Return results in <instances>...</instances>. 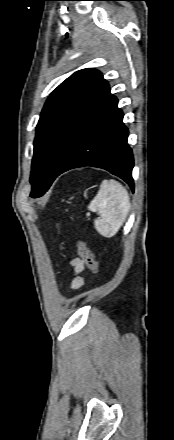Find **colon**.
I'll list each match as a JSON object with an SVG mask.
<instances>
[{
    "instance_id": "colon-1",
    "label": "colon",
    "mask_w": 174,
    "mask_h": 440,
    "mask_svg": "<svg viewBox=\"0 0 174 440\" xmlns=\"http://www.w3.org/2000/svg\"><path fill=\"white\" fill-rule=\"evenodd\" d=\"M76 248L79 257L85 266L95 275H98L100 273V266L86 243L83 240L78 239L76 241Z\"/></svg>"
}]
</instances>
